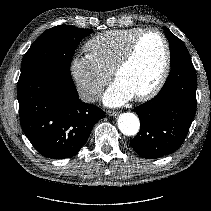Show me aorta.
Segmentation results:
<instances>
[{
    "instance_id": "aorta-1",
    "label": "aorta",
    "mask_w": 211,
    "mask_h": 211,
    "mask_svg": "<svg viewBox=\"0 0 211 211\" xmlns=\"http://www.w3.org/2000/svg\"><path fill=\"white\" fill-rule=\"evenodd\" d=\"M119 130L127 136H133L138 133L140 122L134 113L126 112L120 114L118 118Z\"/></svg>"
}]
</instances>
